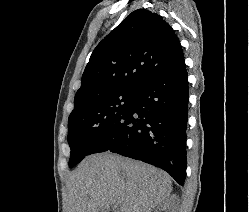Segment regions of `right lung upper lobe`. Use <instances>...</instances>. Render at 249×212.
I'll return each instance as SVG.
<instances>
[{
  "mask_svg": "<svg viewBox=\"0 0 249 212\" xmlns=\"http://www.w3.org/2000/svg\"><path fill=\"white\" fill-rule=\"evenodd\" d=\"M184 59L171 26L156 13L132 12L95 48L74 98V107L100 95L136 92Z\"/></svg>",
  "mask_w": 249,
  "mask_h": 212,
  "instance_id": "cb5924a9",
  "label": "right lung upper lobe"
}]
</instances>
